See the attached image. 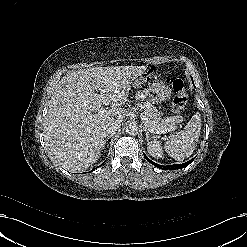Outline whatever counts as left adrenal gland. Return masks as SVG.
I'll list each match as a JSON object with an SVG mask.
<instances>
[{"mask_svg": "<svg viewBox=\"0 0 247 247\" xmlns=\"http://www.w3.org/2000/svg\"><path fill=\"white\" fill-rule=\"evenodd\" d=\"M143 129H144V131H145L146 140L148 141L150 133H149L147 127H143Z\"/></svg>", "mask_w": 247, "mask_h": 247, "instance_id": "obj_1", "label": "left adrenal gland"}]
</instances>
